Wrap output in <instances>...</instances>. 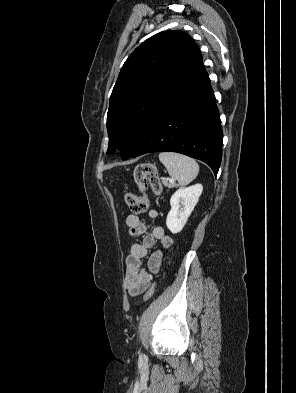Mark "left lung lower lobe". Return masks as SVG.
<instances>
[{
    "mask_svg": "<svg viewBox=\"0 0 296 393\" xmlns=\"http://www.w3.org/2000/svg\"><path fill=\"white\" fill-rule=\"evenodd\" d=\"M157 151L178 152L201 160L217 175L222 158V129L204 67L168 104L129 158Z\"/></svg>",
    "mask_w": 296,
    "mask_h": 393,
    "instance_id": "1",
    "label": "left lung lower lobe"
}]
</instances>
